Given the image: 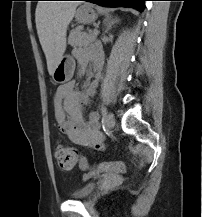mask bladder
<instances>
[{"instance_id": "31cf9c89", "label": "bladder", "mask_w": 202, "mask_h": 217, "mask_svg": "<svg viewBox=\"0 0 202 217\" xmlns=\"http://www.w3.org/2000/svg\"><path fill=\"white\" fill-rule=\"evenodd\" d=\"M109 179L115 178L114 175H109ZM97 190V185L93 183H87L83 185L79 190L71 194V197L75 201H84L90 198L94 192Z\"/></svg>"}]
</instances>
